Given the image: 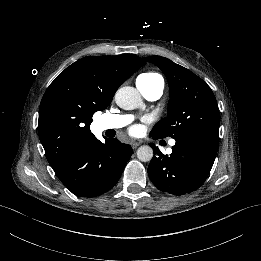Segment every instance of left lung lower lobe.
I'll use <instances>...</instances> for the list:
<instances>
[{
	"instance_id": "1",
	"label": "left lung lower lobe",
	"mask_w": 261,
	"mask_h": 261,
	"mask_svg": "<svg viewBox=\"0 0 261 261\" xmlns=\"http://www.w3.org/2000/svg\"><path fill=\"white\" fill-rule=\"evenodd\" d=\"M150 145L157 154L148 167L151 181L159 190L180 196L193 192L205 182L217 154L219 139L202 133L186 135L176 140L170 156Z\"/></svg>"
}]
</instances>
